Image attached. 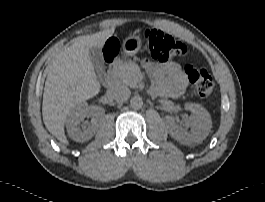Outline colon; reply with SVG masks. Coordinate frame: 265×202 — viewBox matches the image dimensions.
Listing matches in <instances>:
<instances>
[{"label": "colon", "mask_w": 265, "mask_h": 202, "mask_svg": "<svg viewBox=\"0 0 265 202\" xmlns=\"http://www.w3.org/2000/svg\"><path fill=\"white\" fill-rule=\"evenodd\" d=\"M146 49L154 61L163 63L173 57L184 56L188 52L185 43L172 35L160 30H147L144 33ZM119 53V44L110 40L106 45L105 63L107 66ZM183 72L188 76L197 95L205 100H211L213 81L206 68L202 65L184 63Z\"/></svg>", "instance_id": "obj_1"}]
</instances>
